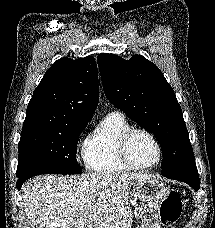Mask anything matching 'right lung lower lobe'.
<instances>
[{
  "label": "right lung lower lobe",
  "instance_id": "1",
  "mask_svg": "<svg viewBox=\"0 0 215 228\" xmlns=\"http://www.w3.org/2000/svg\"><path fill=\"white\" fill-rule=\"evenodd\" d=\"M31 177H21L17 180V189L20 190L23 182Z\"/></svg>",
  "mask_w": 215,
  "mask_h": 228
}]
</instances>
